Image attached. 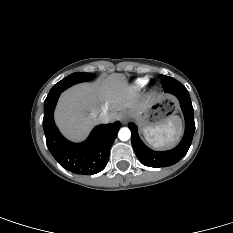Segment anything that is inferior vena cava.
Masks as SVG:
<instances>
[{"mask_svg": "<svg viewBox=\"0 0 233 233\" xmlns=\"http://www.w3.org/2000/svg\"><path fill=\"white\" fill-rule=\"evenodd\" d=\"M98 121L101 123H108L111 121V117L108 113L102 112L98 116Z\"/></svg>", "mask_w": 233, "mask_h": 233, "instance_id": "1", "label": "inferior vena cava"}]
</instances>
